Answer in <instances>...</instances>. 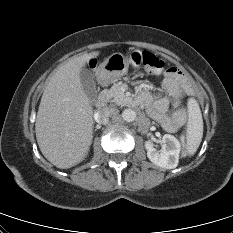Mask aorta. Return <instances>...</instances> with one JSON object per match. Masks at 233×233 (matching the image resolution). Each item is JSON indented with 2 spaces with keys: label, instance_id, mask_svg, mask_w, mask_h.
I'll return each mask as SVG.
<instances>
[{
  "label": "aorta",
  "instance_id": "aorta-1",
  "mask_svg": "<svg viewBox=\"0 0 233 233\" xmlns=\"http://www.w3.org/2000/svg\"><path fill=\"white\" fill-rule=\"evenodd\" d=\"M122 118L126 122H133L136 119V112L132 109H125L122 112Z\"/></svg>",
  "mask_w": 233,
  "mask_h": 233
}]
</instances>
